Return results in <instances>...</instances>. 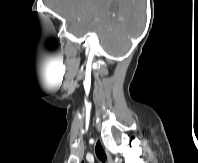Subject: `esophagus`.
<instances>
[{"label": "esophagus", "instance_id": "34e87169", "mask_svg": "<svg viewBox=\"0 0 198 163\" xmlns=\"http://www.w3.org/2000/svg\"><path fill=\"white\" fill-rule=\"evenodd\" d=\"M105 152H106V156H107L106 163H114L113 159L107 149H105Z\"/></svg>", "mask_w": 198, "mask_h": 163}]
</instances>
